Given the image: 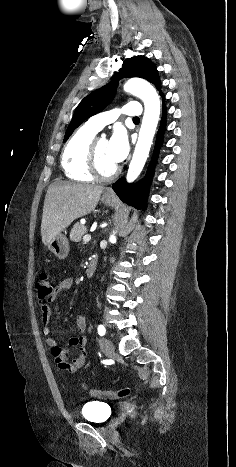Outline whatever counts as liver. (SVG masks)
<instances>
[{
    "instance_id": "liver-1",
    "label": "liver",
    "mask_w": 236,
    "mask_h": 467,
    "mask_svg": "<svg viewBox=\"0 0 236 467\" xmlns=\"http://www.w3.org/2000/svg\"><path fill=\"white\" fill-rule=\"evenodd\" d=\"M102 186L54 182L47 190L41 222V236L48 245L74 220L90 214L99 202Z\"/></svg>"
}]
</instances>
